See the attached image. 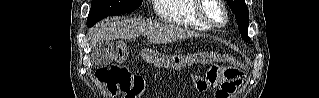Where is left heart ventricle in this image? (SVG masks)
Listing matches in <instances>:
<instances>
[{
  "mask_svg": "<svg viewBox=\"0 0 319 98\" xmlns=\"http://www.w3.org/2000/svg\"><path fill=\"white\" fill-rule=\"evenodd\" d=\"M206 13L207 15L209 16V18L215 22V23H221L222 22V18H223V12L222 10L217 6L215 5L214 3H209L207 5V8H206Z\"/></svg>",
  "mask_w": 319,
  "mask_h": 98,
  "instance_id": "1",
  "label": "left heart ventricle"
}]
</instances>
